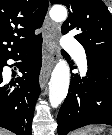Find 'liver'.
Listing matches in <instances>:
<instances>
[{"mask_svg":"<svg viewBox=\"0 0 112 135\" xmlns=\"http://www.w3.org/2000/svg\"><path fill=\"white\" fill-rule=\"evenodd\" d=\"M0 135H12V134L8 132L7 130L0 128Z\"/></svg>","mask_w":112,"mask_h":135,"instance_id":"obj_1","label":"liver"}]
</instances>
